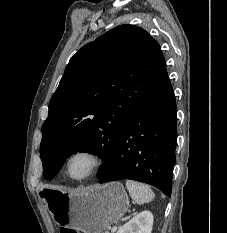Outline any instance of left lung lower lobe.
I'll return each instance as SVG.
<instances>
[{"mask_svg": "<svg viewBox=\"0 0 227 233\" xmlns=\"http://www.w3.org/2000/svg\"><path fill=\"white\" fill-rule=\"evenodd\" d=\"M176 113L175 96L168 79L131 116L100 183L131 179L153 185L170 196L176 160Z\"/></svg>", "mask_w": 227, "mask_h": 233, "instance_id": "obj_1", "label": "left lung lower lobe"}]
</instances>
